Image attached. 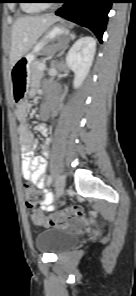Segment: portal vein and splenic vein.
I'll use <instances>...</instances> for the list:
<instances>
[{
    "instance_id": "portal-vein-and-splenic-vein-1",
    "label": "portal vein and splenic vein",
    "mask_w": 136,
    "mask_h": 296,
    "mask_svg": "<svg viewBox=\"0 0 136 296\" xmlns=\"http://www.w3.org/2000/svg\"><path fill=\"white\" fill-rule=\"evenodd\" d=\"M44 68H45L44 65L39 66V70H44Z\"/></svg>"
}]
</instances>
